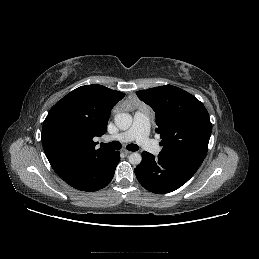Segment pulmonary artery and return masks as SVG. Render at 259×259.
I'll return each mask as SVG.
<instances>
[{
	"label": "pulmonary artery",
	"instance_id": "1",
	"mask_svg": "<svg viewBox=\"0 0 259 259\" xmlns=\"http://www.w3.org/2000/svg\"><path fill=\"white\" fill-rule=\"evenodd\" d=\"M149 112L147 110L137 111L134 114L133 124L127 131L107 137V140H116L120 142H129L135 140L142 148L158 154L160 147L148 137Z\"/></svg>",
	"mask_w": 259,
	"mask_h": 259
}]
</instances>
